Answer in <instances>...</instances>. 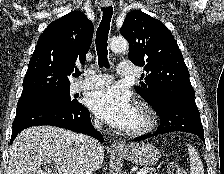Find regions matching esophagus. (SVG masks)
<instances>
[{"label":"esophagus","mask_w":224,"mask_h":174,"mask_svg":"<svg viewBox=\"0 0 224 174\" xmlns=\"http://www.w3.org/2000/svg\"><path fill=\"white\" fill-rule=\"evenodd\" d=\"M112 4L111 0H102V5L107 7L110 6ZM111 148L114 150H123L125 148L124 144L118 140H114L111 143Z\"/></svg>","instance_id":"34e87169"}]
</instances>
